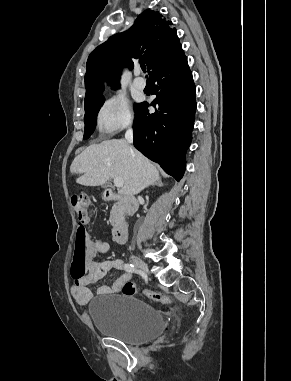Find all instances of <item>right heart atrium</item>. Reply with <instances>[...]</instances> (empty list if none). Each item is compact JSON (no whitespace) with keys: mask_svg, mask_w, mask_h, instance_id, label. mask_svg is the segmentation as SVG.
Instances as JSON below:
<instances>
[{"mask_svg":"<svg viewBox=\"0 0 291 381\" xmlns=\"http://www.w3.org/2000/svg\"><path fill=\"white\" fill-rule=\"evenodd\" d=\"M97 127L103 134L114 133L133 123L128 101L121 96L108 98L97 113Z\"/></svg>","mask_w":291,"mask_h":381,"instance_id":"d8ad5b80","label":"right heart atrium"}]
</instances>
